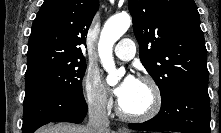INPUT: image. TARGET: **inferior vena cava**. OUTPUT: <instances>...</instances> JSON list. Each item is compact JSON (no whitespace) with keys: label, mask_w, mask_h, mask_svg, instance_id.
I'll return each instance as SVG.
<instances>
[{"label":"inferior vena cava","mask_w":221,"mask_h":133,"mask_svg":"<svg viewBox=\"0 0 221 133\" xmlns=\"http://www.w3.org/2000/svg\"><path fill=\"white\" fill-rule=\"evenodd\" d=\"M88 128L90 133H109V119L106 111V100L98 99L88 107Z\"/></svg>","instance_id":"inferior-vena-cava-1"}]
</instances>
